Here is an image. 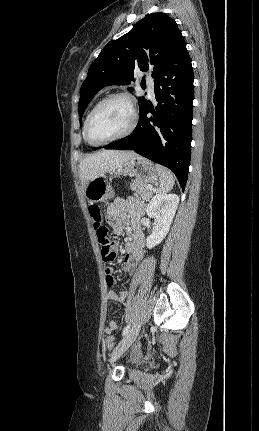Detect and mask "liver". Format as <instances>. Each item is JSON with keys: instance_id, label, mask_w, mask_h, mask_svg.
I'll return each instance as SVG.
<instances>
[{"instance_id": "liver-1", "label": "liver", "mask_w": 259, "mask_h": 431, "mask_svg": "<svg viewBox=\"0 0 259 431\" xmlns=\"http://www.w3.org/2000/svg\"><path fill=\"white\" fill-rule=\"evenodd\" d=\"M136 155L133 151L103 150L84 158L79 167L82 189H85L90 180L120 169Z\"/></svg>"}]
</instances>
